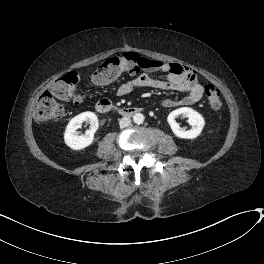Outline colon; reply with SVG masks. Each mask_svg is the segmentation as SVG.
Listing matches in <instances>:
<instances>
[{"label": "colon", "instance_id": "colon-1", "mask_svg": "<svg viewBox=\"0 0 264 264\" xmlns=\"http://www.w3.org/2000/svg\"><path fill=\"white\" fill-rule=\"evenodd\" d=\"M142 68L135 54L114 57L105 61L93 73V84L102 85L116 80L121 74H134ZM209 105L214 109L222 106V94L219 88L209 84L205 89ZM58 99L72 103L81 101L79 79L75 72H69L52 83L37 101L35 118L40 123H48L63 117L65 110Z\"/></svg>", "mask_w": 264, "mask_h": 264}]
</instances>
